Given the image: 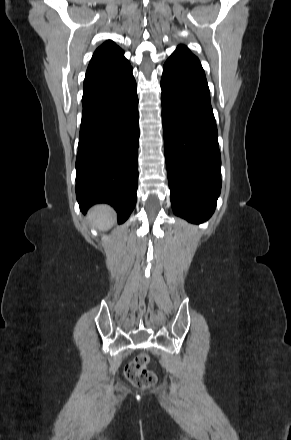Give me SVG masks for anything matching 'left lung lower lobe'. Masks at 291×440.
I'll return each mask as SVG.
<instances>
[{
	"label": "left lung lower lobe",
	"instance_id": "obj_1",
	"mask_svg": "<svg viewBox=\"0 0 291 440\" xmlns=\"http://www.w3.org/2000/svg\"><path fill=\"white\" fill-rule=\"evenodd\" d=\"M161 89L172 208L199 224L213 214L221 190L217 127L199 59L174 52L164 64Z\"/></svg>",
	"mask_w": 291,
	"mask_h": 440
}]
</instances>
